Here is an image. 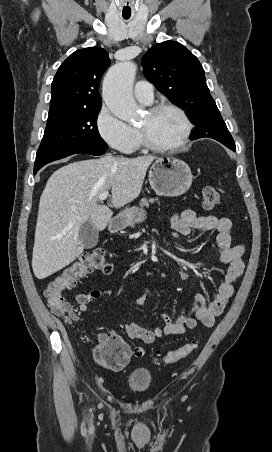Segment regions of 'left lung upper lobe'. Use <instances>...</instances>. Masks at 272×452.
Instances as JSON below:
<instances>
[{
  "instance_id": "1",
  "label": "left lung upper lobe",
  "mask_w": 272,
  "mask_h": 452,
  "mask_svg": "<svg viewBox=\"0 0 272 452\" xmlns=\"http://www.w3.org/2000/svg\"><path fill=\"white\" fill-rule=\"evenodd\" d=\"M142 64L145 77L173 104L187 112L196 126L192 136L215 140L230 138L231 148L235 149L196 56L178 42L165 41L151 47L142 57Z\"/></svg>"
}]
</instances>
